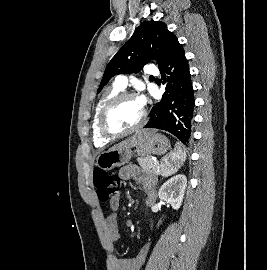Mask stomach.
<instances>
[{"label":"stomach","mask_w":267,"mask_h":270,"mask_svg":"<svg viewBox=\"0 0 267 270\" xmlns=\"http://www.w3.org/2000/svg\"><path fill=\"white\" fill-rule=\"evenodd\" d=\"M171 145L169 140L162 134L153 133L143 143L136 146L134 152L139 156L165 154ZM133 151L131 148H117L100 153L96 159V165L102 170H111L114 167L129 163Z\"/></svg>","instance_id":"stomach-1"}]
</instances>
